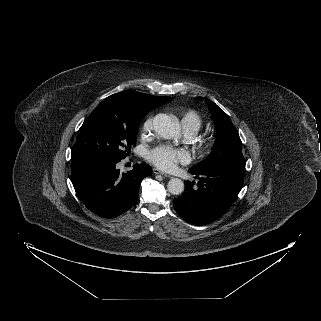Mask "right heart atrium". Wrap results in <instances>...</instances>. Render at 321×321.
Wrapping results in <instances>:
<instances>
[{
    "mask_svg": "<svg viewBox=\"0 0 321 321\" xmlns=\"http://www.w3.org/2000/svg\"><path fill=\"white\" fill-rule=\"evenodd\" d=\"M152 125H153V118L152 117L147 118L142 127L143 132L144 133L149 132L152 129Z\"/></svg>",
    "mask_w": 321,
    "mask_h": 321,
    "instance_id": "1",
    "label": "right heart atrium"
}]
</instances>
